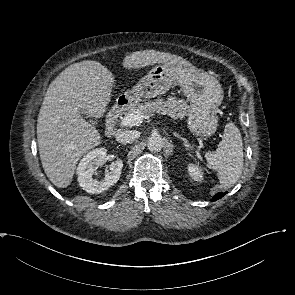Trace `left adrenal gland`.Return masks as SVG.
Masks as SVG:
<instances>
[{"mask_svg": "<svg viewBox=\"0 0 295 295\" xmlns=\"http://www.w3.org/2000/svg\"><path fill=\"white\" fill-rule=\"evenodd\" d=\"M174 136L177 137V138H180L183 143H184V146L187 150H190L191 149V144L183 137H181L178 133L174 132Z\"/></svg>", "mask_w": 295, "mask_h": 295, "instance_id": "a2214340", "label": "left adrenal gland"}]
</instances>
